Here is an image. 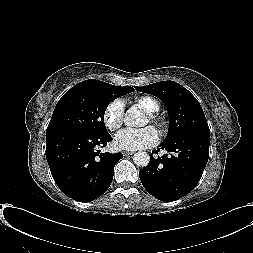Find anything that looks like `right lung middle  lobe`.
<instances>
[{
  "label": "right lung middle lobe",
  "mask_w": 253,
  "mask_h": 253,
  "mask_svg": "<svg viewBox=\"0 0 253 253\" xmlns=\"http://www.w3.org/2000/svg\"><path fill=\"white\" fill-rule=\"evenodd\" d=\"M134 88L118 87L108 83L81 82L73 86L58 101L46 130V135L75 130L90 134H104V113L111 101Z\"/></svg>",
  "instance_id": "right-lung-middle-lobe-1"
}]
</instances>
